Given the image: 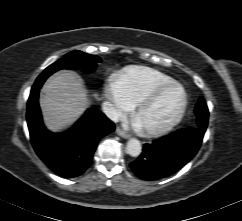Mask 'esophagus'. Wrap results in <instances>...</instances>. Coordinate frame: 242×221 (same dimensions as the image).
Listing matches in <instances>:
<instances>
[{
  "instance_id": "1",
  "label": "esophagus",
  "mask_w": 242,
  "mask_h": 221,
  "mask_svg": "<svg viewBox=\"0 0 242 221\" xmlns=\"http://www.w3.org/2000/svg\"><path fill=\"white\" fill-rule=\"evenodd\" d=\"M116 133L121 136L124 139H128L130 137L129 134L125 133L124 131H122L120 128L116 129Z\"/></svg>"
}]
</instances>
